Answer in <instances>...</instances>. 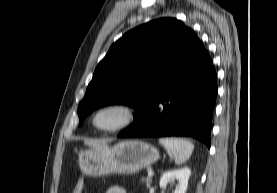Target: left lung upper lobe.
<instances>
[{
    "label": "left lung upper lobe",
    "instance_id": "1",
    "mask_svg": "<svg viewBox=\"0 0 277 193\" xmlns=\"http://www.w3.org/2000/svg\"><path fill=\"white\" fill-rule=\"evenodd\" d=\"M198 37L175 18H161L127 32L95 69L78 106L79 125L86 115L108 104H126L135 117L185 62Z\"/></svg>",
    "mask_w": 277,
    "mask_h": 193
}]
</instances>
